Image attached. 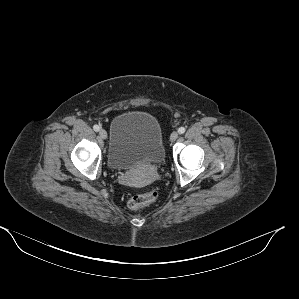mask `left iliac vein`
<instances>
[{
  "instance_id": "1",
  "label": "left iliac vein",
  "mask_w": 299,
  "mask_h": 299,
  "mask_svg": "<svg viewBox=\"0 0 299 299\" xmlns=\"http://www.w3.org/2000/svg\"><path fill=\"white\" fill-rule=\"evenodd\" d=\"M177 138H178V133H177V132H173V133L170 135V140H171V141H175Z\"/></svg>"
}]
</instances>
